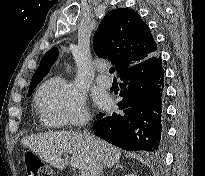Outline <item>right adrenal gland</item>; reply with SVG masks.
Segmentation results:
<instances>
[{"label": "right adrenal gland", "instance_id": "right-adrenal-gland-1", "mask_svg": "<svg viewBox=\"0 0 205 176\" xmlns=\"http://www.w3.org/2000/svg\"><path fill=\"white\" fill-rule=\"evenodd\" d=\"M118 168L122 169L123 166H122L121 164H119V163H116L115 166H114V169H113L112 172L110 173V176H113L114 171H115L116 169H118Z\"/></svg>", "mask_w": 205, "mask_h": 176}]
</instances>
